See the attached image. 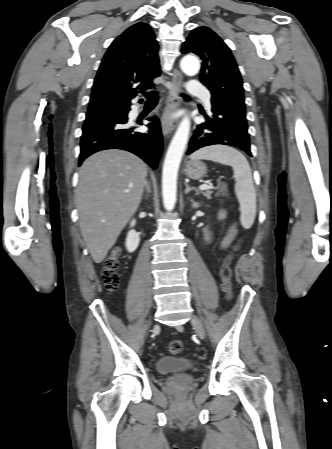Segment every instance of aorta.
Instances as JSON below:
<instances>
[{"instance_id":"1","label":"aorta","mask_w":332,"mask_h":449,"mask_svg":"<svg viewBox=\"0 0 332 449\" xmlns=\"http://www.w3.org/2000/svg\"><path fill=\"white\" fill-rule=\"evenodd\" d=\"M180 66L185 74L194 76L199 72L200 62L196 57L188 55L181 60ZM189 133L190 119L184 117L171 140L163 164L162 196L163 204L167 211L173 210L176 203L177 175Z\"/></svg>"}]
</instances>
